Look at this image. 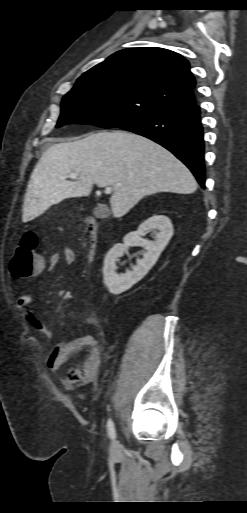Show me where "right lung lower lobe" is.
<instances>
[{"instance_id": "98d812e1", "label": "right lung lower lobe", "mask_w": 247, "mask_h": 513, "mask_svg": "<svg viewBox=\"0 0 247 513\" xmlns=\"http://www.w3.org/2000/svg\"><path fill=\"white\" fill-rule=\"evenodd\" d=\"M120 128L147 137L171 151L205 188L203 128L196 103L168 108Z\"/></svg>"}]
</instances>
